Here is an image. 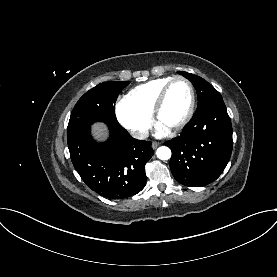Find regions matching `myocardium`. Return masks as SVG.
I'll return each mask as SVG.
<instances>
[{
    "mask_svg": "<svg viewBox=\"0 0 277 277\" xmlns=\"http://www.w3.org/2000/svg\"><path fill=\"white\" fill-rule=\"evenodd\" d=\"M177 81H183L187 84L189 91H190V104H189L188 110H187L185 116L183 117V119L178 124H176L175 126L170 128L172 131H179V130L183 129L188 124V122L191 120V118L194 114L195 107H196V92H195L192 82L183 76L173 77L168 83H166V85L160 91V93L154 103L153 109H152V117L156 122H158L159 115H160V112L166 101L168 92H169L171 86Z\"/></svg>",
    "mask_w": 277,
    "mask_h": 277,
    "instance_id": "f54148a6",
    "label": "myocardium"
}]
</instances>
